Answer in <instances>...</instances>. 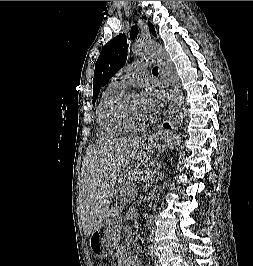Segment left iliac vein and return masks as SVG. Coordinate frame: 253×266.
<instances>
[{"mask_svg": "<svg viewBox=\"0 0 253 266\" xmlns=\"http://www.w3.org/2000/svg\"><path fill=\"white\" fill-rule=\"evenodd\" d=\"M155 266H161L160 261L158 259L155 260Z\"/></svg>", "mask_w": 253, "mask_h": 266, "instance_id": "left-iliac-vein-1", "label": "left iliac vein"}]
</instances>
